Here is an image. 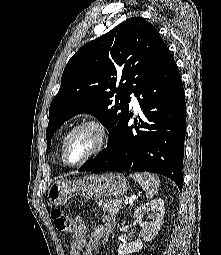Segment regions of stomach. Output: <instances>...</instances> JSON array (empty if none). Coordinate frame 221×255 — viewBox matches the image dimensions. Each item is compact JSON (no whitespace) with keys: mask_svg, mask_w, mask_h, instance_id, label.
<instances>
[{"mask_svg":"<svg viewBox=\"0 0 221 255\" xmlns=\"http://www.w3.org/2000/svg\"><path fill=\"white\" fill-rule=\"evenodd\" d=\"M128 189L129 183L120 173L90 174L80 180L62 179L52 183L47 197L50 204L59 206L77 194L90 200H97L105 196L123 195Z\"/></svg>","mask_w":221,"mask_h":255,"instance_id":"stomach-1","label":"stomach"}]
</instances>
